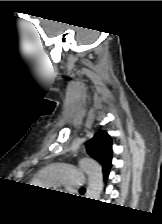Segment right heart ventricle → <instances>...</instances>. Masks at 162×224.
Segmentation results:
<instances>
[{
    "label": "right heart ventricle",
    "mask_w": 162,
    "mask_h": 224,
    "mask_svg": "<svg viewBox=\"0 0 162 224\" xmlns=\"http://www.w3.org/2000/svg\"><path fill=\"white\" fill-rule=\"evenodd\" d=\"M35 184H37V185H42V183L39 181V180H37V181H35Z\"/></svg>",
    "instance_id": "obj_1"
}]
</instances>
